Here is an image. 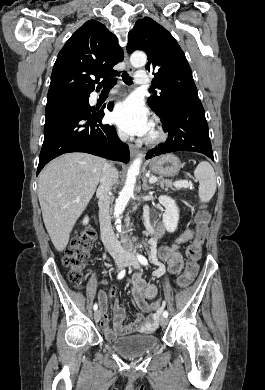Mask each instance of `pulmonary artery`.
<instances>
[{
  "mask_svg": "<svg viewBox=\"0 0 265 390\" xmlns=\"http://www.w3.org/2000/svg\"><path fill=\"white\" fill-rule=\"evenodd\" d=\"M136 83L139 85H148L151 83V76L149 75L148 71L146 70H140L136 74ZM114 92V91H113ZM112 92V93H113Z\"/></svg>",
  "mask_w": 265,
  "mask_h": 390,
  "instance_id": "1",
  "label": "pulmonary artery"
}]
</instances>
